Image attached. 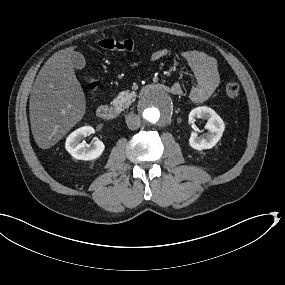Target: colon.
Wrapping results in <instances>:
<instances>
[{
  "instance_id": "5ec220e1",
  "label": "colon",
  "mask_w": 285,
  "mask_h": 285,
  "mask_svg": "<svg viewBox=\"0 0 285 285\" xmlns=\"http://www.w3.org/2000/svg\"><path fill=\"white\" fill-rule=\"evenodd\" d=\"M97 45L105 50L110 51H132L137 46V41L134 39H102L98 41ZM88 85L91 90L96 89L95 82L90 79ZM225 92L228 97L235 98L239 95L240 86L237 82H229L225 87Z\"/></svg>"
}]
</instances>
